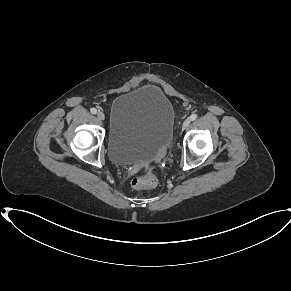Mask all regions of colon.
Returning <instances> with one entry per match:
<instances>
[{
  "label": "colon",
  "mask_w": 291,
  "mask_h": 291,
  "mask_svg": "<svg viewBox=\"0 0 291 291\" xmlns=\"http://www.w3.org/2000/svg\"><path fill=\"white\" fill-rule=\"evenodd\" d=\"M166 155V150H161L157 157L156 161L159 162L161 161ZM157 184V178L154 174L152 173H147L146 175L142 177H137L134 178L131 182V185L134 189H143V188H151L156 186Z\"/></svg>",
  "instance_id": "obj_1"
}]
</instances>
